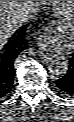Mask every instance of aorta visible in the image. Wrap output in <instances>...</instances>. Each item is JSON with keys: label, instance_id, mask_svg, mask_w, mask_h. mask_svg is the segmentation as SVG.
<instances>
[{"label": "aorta", "instance_id": "obj_1", "mask_svg": "<svg viewBox=\"0 0 74 122\" xmlns=\"http://www.w3.org/2000/svg\"><path fill=\"white\" fill-rule=\"evenodd\" d=\"M47 68L54 75H64L69 68L68 59L60 54H54L47 59Z\"/></svg>", "mask_w": 74, "mask_h": 122}]
</instances>
